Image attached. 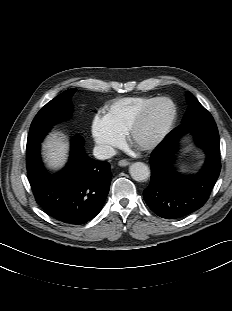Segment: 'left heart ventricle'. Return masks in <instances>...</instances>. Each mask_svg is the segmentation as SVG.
<instances>
[{"instance_id": "b2bd125f", "label": "left heart ventricle", "mask_w": 232, "mask_h": 311, "mask_svg": "<svg viewBox=\"0 0 232 311\" xmlns=\"http://www.w3.org/2000/svg\"><path fill=\"white\" fill-rule=\"evenodd\" d=\"M171 115V106L160 103L148 114L146 120L135 134V142L142 144L152 139L164 126Z\"/></svg>"}]
</instances>
